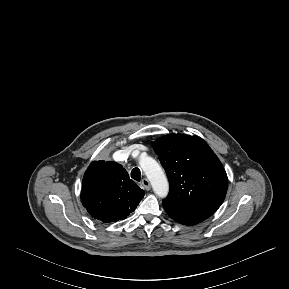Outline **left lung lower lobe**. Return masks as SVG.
<instances>
[{"label": "left lung lower lobe", "mask_w": 289, "mask_h": 289, "mask_svg": "<svg viewBox=\"0 0 289 289\" xmlns=\"http://www.w3.org/2000/svg\"><path fill=\"white\" fill-rule=\"evenodd\" d=\"M164 209L172 219L185 225H195L204 221L207 218L199 214L191 213L180 209L170 208L165 205Z\"/></svg>", "instance_id": "0a47b994"}]
</instances>
